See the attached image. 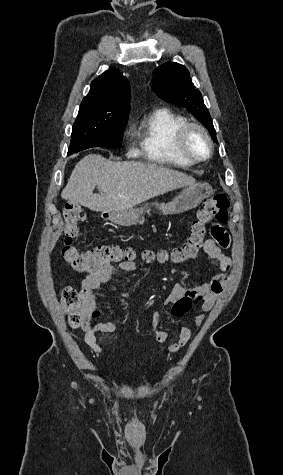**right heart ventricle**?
<instances>
[{
    "instance_id": "1",
    "label": "right heart ventricle",
    "mask_w": 283,
    "mask_h": 475,
    "mask_svg": "<svg viewBox=\"0 0 283 475\" xmlns=\"http://www.w3.org/2000/svg\"><path fill=\"white\" fill-rule=\"evenodd\" d=\"M186 122L181 114L167 107H159L135 123L133 131L140 157L156 163L166 162L162 157V146L172 145L171 137Z\"/></svg>"
}]
</instances>
